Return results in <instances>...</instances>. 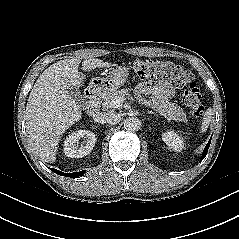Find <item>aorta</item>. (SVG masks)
<instances>
[{
    "label": "aorta",
    "instance_id": "obj_1",
    "mask_svg": "<svg viewBox=\"0 0 239 239\" xmlns=\"http://www.w3.org/2000/svg\"><path fill=\"white\" fill-rule=\"evenodd\" d=\"M123 124L127 131H138L141 127V121L137 117L126 118Z\"/></svg>",
    "mask_w": 239,
    "mask_h": 239
}]
</instances>
